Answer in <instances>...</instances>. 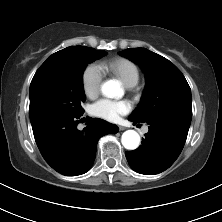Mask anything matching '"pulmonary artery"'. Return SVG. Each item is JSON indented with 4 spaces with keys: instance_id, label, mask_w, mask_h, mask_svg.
I'll return each instance as SVG.
<instances>
[{
    "instance_id": "pulmonary-artery-1",
    "label": "pulmonary artery",
    "mask_w": 222,
    "mask_h": 222,
    "mask_svg": "<svg viewBox=\"0 0 222 222\" xmlns=\"http://www.w3.org/2000/svg\"><path fill=\"white\" fill-rule=\"evenodd\" d=\"M148 132V128L147 127H144L143 128V133H147Z\"/></svg>"
}]
</instances>
